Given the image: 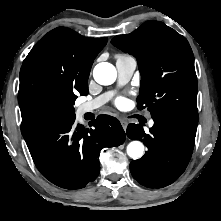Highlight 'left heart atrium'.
<instances>
[{"label": "left heart atrium", "mask_w": 221, "mask_h": 221, "mask_svg": "<svg viewBox=\"0 0 221 221\" xmlns=\"http://www.w3.org/2000/svg\"><path fill=\"white\" fill-rule=\"evenodd\" d=\"M123 102H124V99L123 98H118V100H117V105H122L123 104Z\"/></svg>", "instance_id": "1"}]
</instances>
